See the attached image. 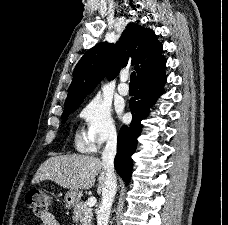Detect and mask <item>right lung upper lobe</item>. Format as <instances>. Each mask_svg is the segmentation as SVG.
<instances>
[{
	"label": "right lung upper lobe",
	"instance_id": "obj_1",
	"mask_svg": "<svg viewBox=\"0 0 228 225\" xmlns=\"http://www.w3.org/2000/svg\"><path fill=\"white\" fill-rule=\"evenodd\" d=\"M162 48L152 30L129 23L115 45L102 42L83 55L74 69L65 107L81 103L104 76L114 79L129 61L138 75L162 56Z\"/></svg>",
	"mask_w": 228,
	"mask_h": 225
}]
</instances>
